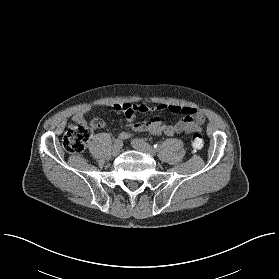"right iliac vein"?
I'll use <instances>...</instances> for the list:
<instances>
[{
	"mask_svg": "<svg viewBox=\"0 0 279 279\" xmlns=\"http://www.w3.org/2000/svg\"><path fill=\"white\" fill-rule=\"evenodd\" d=\"M121 151V147L119 145H114L111 149V153L113 156H117Z\"/></svg>",
	"mask_w": 279,
	"mask_h": 279,
	"instance_id": "63e3f726",
	"label": "right iliac vein"
}]
</instances>
